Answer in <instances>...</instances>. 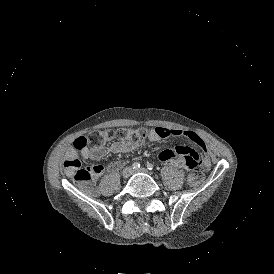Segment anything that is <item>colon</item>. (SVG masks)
Returning a JSON list of instances; mask_svg holds the SVG:
<instances>
[{"instance_id":"obj_1","label":"colon","mask_w":274,"mask_h":274,"mask_svg":"<svg viewBox=\"0 0 274 274\" xmlns=\"http://www.w3.org/2000/svg\"><path fill=\"white\" fill-rule=\"evenodd\" d=\"M95 137H100L106 141L113 138L124 142H139L146 136V130L139 129H106L94 133ZM74 144L71 146V151L66 156L63 162L64 170L70 175L76 183L87 184L94 176L104 171V166L97 164L91 166H82L81 161L76 154L82 147H87L89 144L88 139L84 133H77ZM160 155V154H159ZM204 181V174L199 168L190 171L187 176L188 185L191 188L198 187ZM89 185V184H88Z\"/></svg>"}]
</instances>
